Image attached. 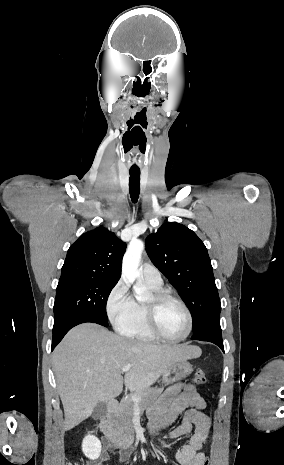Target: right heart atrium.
<instances>
[{
	"mask_svg": "<svg viewBox=\"0 0 284 465\" xmlns=\"http://www.w3.org/2000/svg\"><path fill=\"white\" fill-rule=\"evenodd\" d=\"M135 304L125 281L120 279L106 297L105 312L109 321L119 326L132 315Z\"/></svg>",
	"mask_w": 284,
	"mask_h": 465,
	"instance_id": "1",
	"label": "right heart atrium"
}]
</instances>
